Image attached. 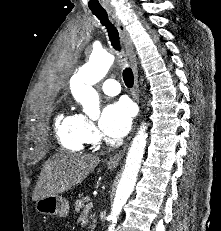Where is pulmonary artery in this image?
Returning <instances> with one entry per match:
<instances>
[{"label":"pulmonary artery","instance_id":"1","mask_svg":"<svg viewBox=\"0 0 221 231\" xmlns=\"http://www.w3.org/2000/svg\"><path fill=\"white\" fill-rule=\"evenodd\" d=\"M101 89L108 96H115L121 91L119 83L112 79L105 80L101 84Z\"/></svg>","mask_w":221,"mask_h":231}]
</instances>
